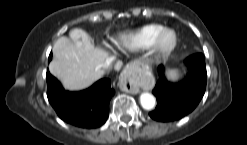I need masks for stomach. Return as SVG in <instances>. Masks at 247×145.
Instances as JSON below:
<instances>
[{
  "label": "stomach",
  "mask_w": 247,
  "mask_h": 145,
  "mask_svg": "<svg viewBox=\"0 0 247 145\" xmlns=\"http://www.w3.org/2000/svg\"><path fill=\"white\" fill-rule=\"evenodd\" d=\"M134 66L137 67V68H139L140 66H143V64H141L140 62H135L134 63Z\"/></svg>",
  "instance_id": "stomach-1"
}]
</instances>
